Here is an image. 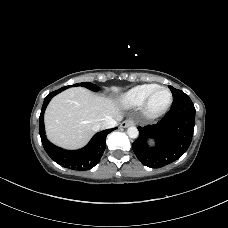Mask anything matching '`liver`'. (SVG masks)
I'll use <instances>...</instances> for the list:
<instances>
[{"instance_id":"1","label":"liver","mask_w":228,"mask_h":228,"mask_svg":"<svg viewBox=\"0 0 228 228\" xmlns=\"http://www.w3.org/2000/svg\"><path fill=\"white\" fill-rule=\"evenodd\" d=\"M111 90L118 93L121 89L112 87ZM107 119H122L120 103L83 87L69 88L55 96L44 116L48 139L66 149H78L86 145L98 131L96 126Z\"/></svg>"}]
</instances>
